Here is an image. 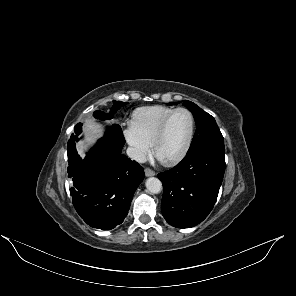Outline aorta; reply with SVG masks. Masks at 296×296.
Here are the masks:
<instances>
[{"instance_id":"762f6f07","label":"aorta","mask_w":296,"mask_h":296,"mask_svg":"<svg viewBox=\"0 0 296 296\" xmlns=\"http://www.w3.org/2000/svg\"><path fill=\"white\" fill-rule=\"evenodd\" d=\"M146 188L149 192L157 194L162 190V183L158 178L150 177L145 182Z\"/></svg>"}]
</instances>
